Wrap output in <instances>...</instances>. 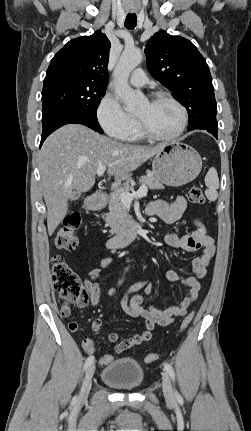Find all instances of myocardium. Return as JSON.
Instances as JSON below:
<instances>
[{"label": "myocardium", "mask_w": 251, "mask_h": 431, "mask_svg": "<svg viewBox=\"0 0 251 431\" xmlns=\"http://www.w3.org/2000/svg\"><path fill=\"white\" fill-rule=\"evenodd\" d=\"M159 101H168L178 108L181 114V122L178 129L170 135H166V136L158 135L152 132L141 118L136 116V123H137L138 130L143 137L153 141H164V142L173 141L178 137H180L187 127V124H188L187 110L180 101H178L176 98H174L173 96L167 93H156L149 100V102L151 103H155Z\"/></svg>", "instance_id": "obj_1"}]
</instances>
